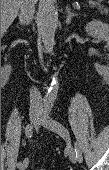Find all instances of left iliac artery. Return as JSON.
<instances>
[{
  "label": "left iliac artery",
  "mask_w": 109,
  "mask_h": 170,
  "mask_svg": "<svg viewBox=\"0 0 109 170\" xmlns=\"http://www.w3.org/2000/svg\"><path fill=\"white\" fill-rule=\"evenodd\" d=\"M50 110H51V106L47 105L45 108V113L48 114L50 112ZM75 152H76L77 159H78L79 163H81L83 161V156H82L81 149L77 142L75 143Z\"/></svg>",
  "instance_id": "1"
}]
</instances>
